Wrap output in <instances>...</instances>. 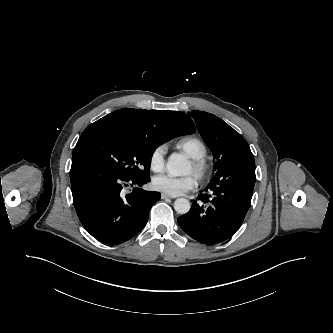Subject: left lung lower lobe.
<instances>
[{
  "instance_id": "left-lung-lower-lobe-1",
  "label": "left lung lower lobe",
  "mask_w": 333,
  "mask_h": 333,
  "mask_svg": "<svg viewBox=\"0 0 333 333\" xmlns=\"http://www.w3.org/2000/svg\"><path fill=\"white\" fill-rule=\"evenodd\" d=\"M256 181L255 162L246 151L224 163L193 200L190 211L178 218L179 226L193 239L213 245L230 238L249 209ZM211 193V195H208Z\"/></svg>"
}]
</instances>
